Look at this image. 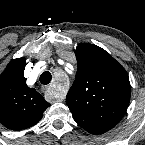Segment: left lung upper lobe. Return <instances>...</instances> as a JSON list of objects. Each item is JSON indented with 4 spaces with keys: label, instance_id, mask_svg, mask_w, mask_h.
Masks as SVG:
<instances>
[{
    "label": "left lung upper lobe",
    "instance_id": "5c2ea615",
    "mask_svg": "<svg viewBox=\"0 0 145 145\" xmlns=\"http://www.w3.org/2000/svg\"><path fill=\"white\" fill-rule=\"evenodd\" d=\"M73 86L66 104L74 120L90 133L112 129L122 119L130 101V82L125 69L104 49L80 44Z\"/></svg>",
    "mask_w": 145,
    "mask_h": 145
}]
</instances>
